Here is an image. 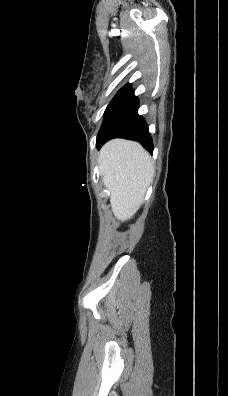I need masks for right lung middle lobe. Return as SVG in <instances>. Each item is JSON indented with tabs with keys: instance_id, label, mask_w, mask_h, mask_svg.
Segmentation results:
<instances>
[{
	"instance_id": "right-lung-middle-lobe-1",
	"label": "right lung middle lobe",
	"mask_w": 228,
	"mask_h": 396,
	"mask_svg": "<svg viewBox=\"0 0 228 396\" xmlns=\"http://www.w3.org/2000/svg\"><path fill=\"white\" fill-rule=\"evenodd\" d=\"M125 88H121L118 92H117V94L114 96V98L112 99V101L109 103V105L123 92V90H124ZM108 105V106H109ZM108 108V107H107Z\"/></svg>"
}]
</instances>
